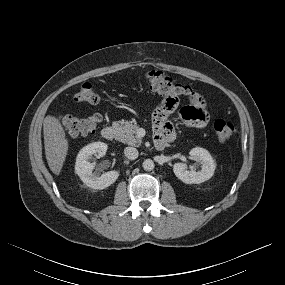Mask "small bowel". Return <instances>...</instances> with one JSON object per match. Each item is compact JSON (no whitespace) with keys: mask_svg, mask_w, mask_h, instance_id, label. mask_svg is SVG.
<instances>
[{"mask_svg":"<svg viewBox=\"0 0 285 285\" xmlns=\"http://www.w3.org/2000/svg\"><path fill=\"white\" fill-rule=\"evenodd\" d=\"M180 107L181 100L175 94H167L160 100L152 117L155 138L165 137L168 141L174 138L175 130L169 118L178 113L183 123L190 128H204L209 123L207 105L201 97L193 99L190 105Z\"/></svg>","mask_w":285,"mask_h":285,"instance_id":"1","label":"small bowel"}]
</instances>
